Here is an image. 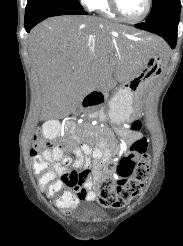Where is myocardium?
I'll list each match as a JSON object with an SVG mask.
<instances>
[{"label":"myocardium","instance_id":"myocardium-1","mask_svg":"<svg viewBox=\"0 0 183 246\" xmlns=\"http://www.w3.org/2000/svg\"><path fill=\"white\" fill-rule=\"evenodd\" d=\"M108 1H109L112 11L116 14V16L119 17L121 20L128 22V23H138L144 20L150 13L151 7H152V0H146V7L142 15H140L137 18H129L125 16L123 12L121 11L118 0H108Z\"/></svg>","mask_w":183,"mask_h":246}]
</instances>
